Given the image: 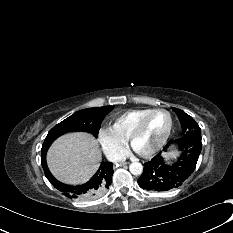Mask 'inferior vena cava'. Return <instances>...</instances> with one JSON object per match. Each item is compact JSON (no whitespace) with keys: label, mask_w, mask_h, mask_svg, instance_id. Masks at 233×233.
I'll list each match as a JSON object with an SVG mask.
<instances>
[{"label":"inferior vena cava","mask_w":233,"mask_h":233,"mask_svg":"<svg viewBox=\"0 0 233 233\" xmlns=\"http://www.w3.org/2000/svg\"><path fill=\"white\" fill-rule=\"evenodd\" d=\"M107 159H108L110 162L117 163V162L124 161V160H125V157H124V155H122V154H120V153H112V154H109V155L107 156Z\"/></svg>","instance_id":"inferior-vena-cava-1"}]
</instances>
